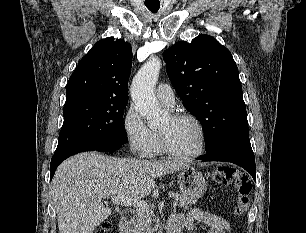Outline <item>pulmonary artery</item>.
<instances>
[{
	"mask_svg": "<svg viewBox=\"0 0 306 233\" xmlns=\"http://www.w3.org/2000/svg\"><path fill=\"white\" fill-rule=\"evenodd\" d=\"M157 99L161 104L168 108H172L175 102L174 92L170 85L160 84L156 89Z\"/></svg>",
	"mask_w": 306,
	"mask_h": 233,
	"instance_id": "1",
	"label": "pulmonary artery"
}]
</instances>
